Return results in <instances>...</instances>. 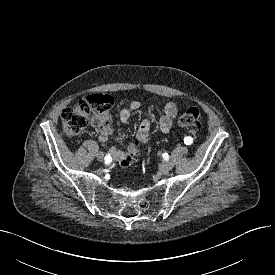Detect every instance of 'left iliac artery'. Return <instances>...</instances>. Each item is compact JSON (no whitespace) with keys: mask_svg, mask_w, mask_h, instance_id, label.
Returning a JSON list of instances; mask_svg holds the SVG:
<instances>
[{"mask_svg":"<svg viewBox=\"0 0 275 275\" xmlns=\"http://www.w3.org/2000/svg\"><path fill=\"white\" fill-rule=\"evenodd\" d=\"M184 143L186 145H191L193 143V138L191 136H187L184 138Z\"/></svg>","mask_w":275,"mask_h":275,"instance_id":"left-iliac-artery-1","label":"left iliac artery"}]
</instances>
